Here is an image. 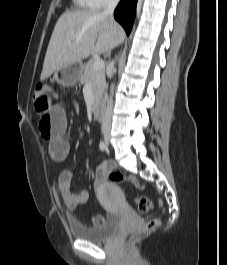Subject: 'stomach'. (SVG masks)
<instances>
[{
  "instance_id": "0dacf381",
  "label": "stomach",
  "mask_w": 227,
  "mask_h": 265,
  "mask_svg": "<svg viewBox=\"0 0 227 265\" xmlns=\"http://www.w3.org/2000/svg\"><path fill=\"white\" fill-rule=\"evenodd\" d=\"M83 64L81 62L73 63L56 70L53 74V80L62 86H73L81 78Z\"/></svg>"
}]
</instances>
